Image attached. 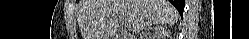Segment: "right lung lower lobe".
Listing matches in <instances>:
<instances>
[{"instance_id": "right-lung-lower-lobe-1", "label": "right lung lower lobe", "mask_w": 249, "mask_h": 39, "mask_svg": "<svg viewBox=\"0 0 249 39\" xmlns=\"http://www.w3.org/2000/svg\"><path fill=\"white\" fill-rule=\"evenodd\" d=\"M179 11L181 17L183 16V10L185 5V0H169Z\"/></svg>"}]
</instances>
